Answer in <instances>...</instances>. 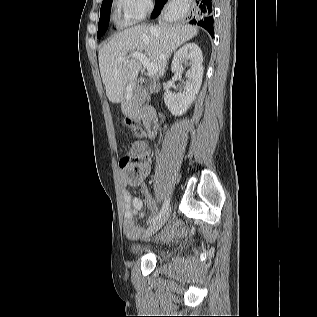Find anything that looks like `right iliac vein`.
I'll return each instance as SVG.
<instances>
[{"label":"right iliac vein","mask_w":317,"mask_h":317,"mask_svg":"<svg viewBox=\"0 0 317 317\" xmlns=\"http://www.w3.org/2000/svg\"><path fill=\"white\" fill-rule=\"evenodd\" d=\"M170 215V209H168L165 214L158 219L155 223H153L151 226L147 228V230L144 233V238L147 239L153 234H155L162 226L167 222Z\"/></svg>","instance_id":"right-iliac-vein-1"}]
</instances>
